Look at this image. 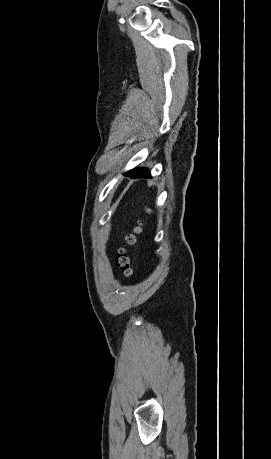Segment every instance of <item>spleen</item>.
<instances>
[{
	"label": "spleen",
	"instance_id": "spleen-1",
	"mask_svg": "<svg viewBox=\"0 0 271 459\" xmlns=\"http://www.w3.org/2000/svg\"><path fill=\"white\" fill-rule=\"evenodd\" d=\"M146 212H151V210H146Z\"/></svg>",
	"mask_w": 271,
	"mask_h": 459
}]
</instances>
